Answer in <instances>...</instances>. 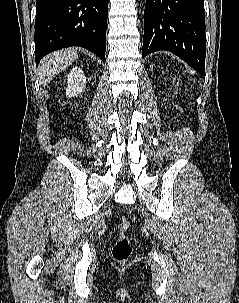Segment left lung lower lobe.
Instances as JSON below:
<instances>
[{
    "instance_id": "obj_1",
    "label": "left lung lower lobe",
    "mask_w": 239,
    "mask_h": 303,
    "mask_svg": "<svg viewBox=\"0 0 239 303\" xmlns=\"http://www.w3.org/2000/svg\"><path fill=\"white\" fill-rule=\"evenodd\" d=\"M203 0H147L142 57L166 50L205 76Z\"/></svg>"
}]
</instances>
